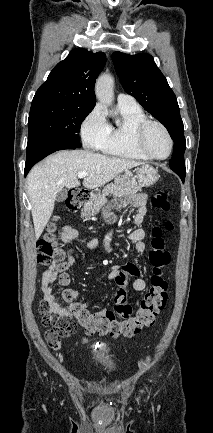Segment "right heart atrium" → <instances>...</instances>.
Returning <instances> with one entry per match:
<instances>
[{"label": "right heart atrium", "instance_id": "d8ad5b80", "mask_svg": "<svg viewBox=\"0 0 213 433\" xmlns=\"http://www.w3.org/2000/svg\"><path fill=\"white\" fill-rule=\"evenodd\" d=\"M108 125L102 109L98 106L94 107L80 126L83 144L90 149L99 148L107 134Z\"/></svg>", "mask_w": 213, "mask_h": 433}]
</instances>
